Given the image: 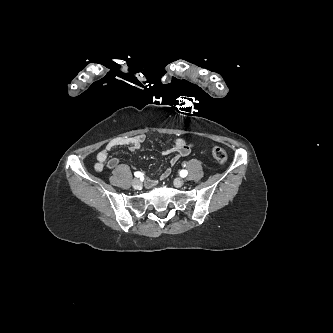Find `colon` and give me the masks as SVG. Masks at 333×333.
Instances as JSON below:
<instances>
[{"label": "colon", "mask_w": 333, "mask_h": 333, "mask_svg": "<svg viewBox=\"0 0 333 333\" xmlns=\"http://www.w3.org/2000/svg\"><path fill=\"white\" fill-rule=\"evenodd\" d=\"M212 157L219 164H224L227 161V153L220 147H214L212 149Z\"/></svg>", "instance_id": "colon-1"}]
</instances>
